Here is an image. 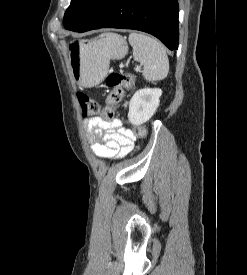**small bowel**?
Segmentation results:
<instances>
[{"instance_id":"1","label":"small bowel","mask_w":247,"mask_h":275,"mask_svg":"<svg viewBox=\"0 0 247 275\" xmlns=\"http://www.w3.org/2000/svg\"><path fill=\"white\" fill-rule=\"evenodd\" d=\"M85 126L91 149L98 157L120 159L133 149L136 135L117 118L93 115L85 121Z\"/></svg>"}]
</instances>
